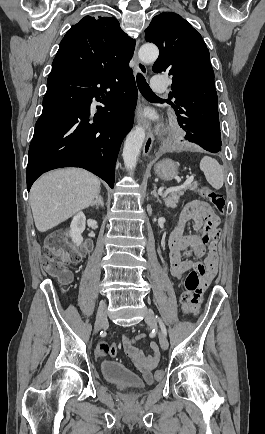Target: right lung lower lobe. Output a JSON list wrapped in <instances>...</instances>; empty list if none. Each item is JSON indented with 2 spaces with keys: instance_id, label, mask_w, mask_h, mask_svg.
<instances>
[{
  "instance_id": "obj_1",
  "label": "right lung lower lobe",
  "mask_w": 265,
  "mask_h": 434,
  "mask_svg": "<svg viewBox=\"0 0 265 434\" xmlns=\"http://www.w3.org/2000/svg\"><path fill=\"white\" fill-rule=\"evenodd\" d=\"M128 64L99 73L50 72L29 147L28 191L41 174L61 167L87 169L114 187L115 162L132 128L137 101ZM94 97L105 105L97 106L96 112L91 106Z\"/></svg>"
}]
</instances>
